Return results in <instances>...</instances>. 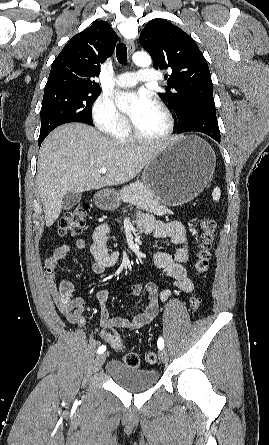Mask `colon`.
<instances>
[{"label":"colon","mask_w":269,"mask_h":445,"mask_svg":"<svg viewBox=\"0 0 269 445\" xmlns=\"http://www.w3.org/2000/svg\"><path fill=\"white\" fill-rule=\"evenodd\" d=\"M90 207L87 204H79L71 210L67 211L59 220L58 232L61 236H77L81 234L87 224ZM216 230V222L211 218H204L201 221V234L198 242V250L196 253L195 273L198 276L205 277L208 273L211 248L213 245ZM46 274L49 281L54 278V270L46 268ZM62 289L65 292L72 290V286L68 282L62 284ZM201 304L199 297H192L189 302V307L192 311L198 310ZM106 340L116 349L122 348V340L114 330L106 331ZM146 361L149 364H155L158 361L156 353L149 352L146 355ZM124 363L127 366L137 368L140 365V356L136 352H128L124 356Z\"/></svg>","instance_id":"colon-1"}]
</instances>
